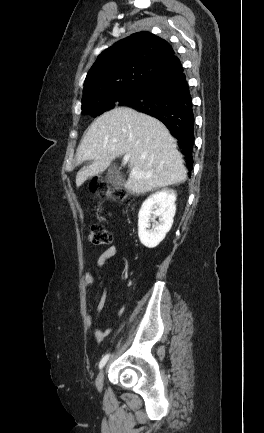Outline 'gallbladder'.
Here are the masks:
<instances>
[{
    "mask_svg": "<svg viewBox=\"0 0 264 433\" xmlns=\"http://www.w3.org/2000/svg\"><path fill=\"white\" fill-rule=\"evenodd\" d=\"M106 178L114 187L118 189L122 188L124 185V180L119 175L118 168L115 165L109 167Z\"/></svg>",
    "mask_w": 264,
    "mask_h": 433,
    "instance_id": "gallbladder-1",
    "label": "gallbladder"
}]
</instances>
